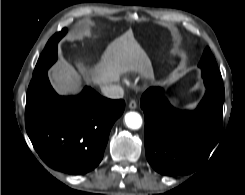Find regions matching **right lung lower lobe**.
<instances>
[{
	"instance_id": "98d812e1",
	"label": "right lung lower lobe",
	"mask_w": 245,
	"mask_h": 195,
	"mask_svg": "<svg viewBox=\"0 0 245 195\" xmlns=\"http://www.w3.org/2000/svg\"><path fill=\"white\" fill-rule=\"evenodd\" d=\"M124 107L123 100L101 97L90 87L78 96H59L44 73L33 77L27 91L26 131L49 167L85 174L101 162L110 130Z\"/></svg>"
}]
</instances>
